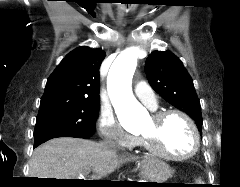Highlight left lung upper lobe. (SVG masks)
<instances>
[{"mask_svg": "<svg viewBox=\"0 0 240 187\" xmlns=\"http://www.w3.org/2000/svg\"><path fill=\"white\" fill-rule=\"evenodd\" d=\"M145 72L152 88L168 103L187 113L201 132L200 102L180 59L170 51H154L146 60Z\"/></svg>", "mask_w": 240, "mask_h": 187, "instance_id": "obj_1", "label": "left lung upper lobe"}]
</instances>
